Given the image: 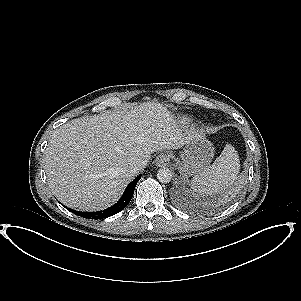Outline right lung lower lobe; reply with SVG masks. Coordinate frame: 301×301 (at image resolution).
Returning <instances> with one entry per match:
<instances>
[{
	"label": "right lung lower lobe",
	"mask_w": 301,
	"mask_h": 301,
	"mask_svg": "<svg viewBox=\"0 0 301 301\" xmlns=\"http://www.w3.org/2000/svg\"><path fill=\"white\" fill-rule=\"evenodd\" d=\"M140 178L141 175L137 176L131 183H129L120 200L110 208H107L103 211H97V212H80V211H74L72 209H70V211L72 213H75L76 215L88 219H103L115 215L118 212L122 211L128 205V203L130 202L134 194L135 186L137 182L140 180Z\"/></svg>",
	"instance_id": "obj_1"
}]
</instances>
